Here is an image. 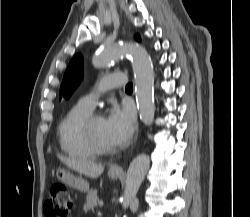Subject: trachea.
Instances as JSON below:
<instances>
[{"label":"trachea","mask_w":250,"mask_h":217,"mask_svg":"<svg viewBox=\"0 0 250 217\" xmlns=\"http://www.w3.org/2000/svg\"><path fill=\"white\" fill-rule=\"evenodd\" d=\"M126 90H133V84L132 83H128L125 87Z\"/></svg>","instance_id":"1"}]
</instances>
